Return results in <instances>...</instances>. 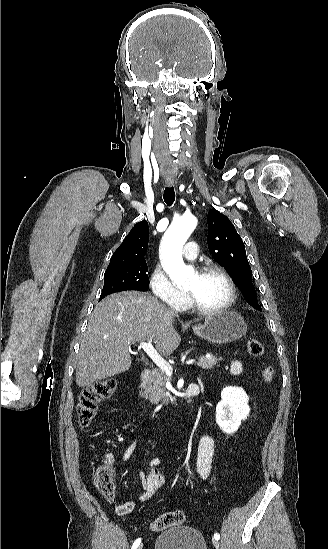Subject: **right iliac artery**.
<instances>
[{
	"label": "right iliac artery",
	"instance_id": "obj_1",
	"mask_svg": "<svg viewBox=\"0 0 328 549\" xmlns=\"http://www.w3.org/2000/svg\"><path fill=\"white\" fill-rule=\"evenodd\" d=\"M140 543H141V538L136 539L135 542L132 545V549H137V547L140 545Z\"/></svg>",
	"mask_w": 328,
	"mask_h": 549
}]
</instances>
